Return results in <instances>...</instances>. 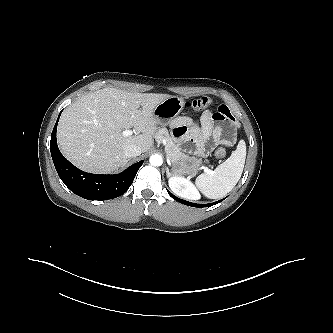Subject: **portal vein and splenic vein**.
<instances>
[{"instance_id": "obj_1", "label": "portal vein and splenic vein", "mask_w": 333, "mask_h": 333, "mask_svg": "<svg viewBox=\"0 0 333 333\" xmlns=\"http://www.w3.org/2000/svg\"><path fill=\"white\" fill-rule=\"evenodd\" d=\"M122 134H123V136L128 137V136H131V135L133 134V131H132V130H124V131L122 132ZM203 170H204V172H206V173H211V172H212L210 169H208V168H206V167H203Z\"/></svg>"}]
</instances>
